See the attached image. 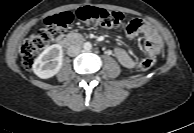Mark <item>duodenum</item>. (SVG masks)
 Returning a JSON list of instances; mask_svg holds the SVG:
<instances>
[{
  "mask_svg": "<svg viewBox=\"0 0 194 133\" xmlns=\"http://www.w3.org/2000/svg\"><path fill=\"white\" fill-rule=\"evenodd\" d=\"M83 42V39L76 35H59L55 39V43L62 47H70Z\"/></svg>",
  "mask_w": 194,
  "mask_h": 133,
  "instance_id": "1",
  "label": "duodenum"
}]
</instances>
